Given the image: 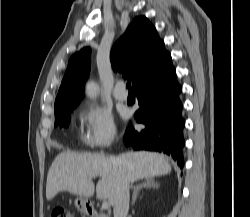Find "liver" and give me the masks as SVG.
Wrapping results in <instances>:
<instances>
[{"label": "liver", "mask_w": 250, "mask_h": 217, "mask_svg": "<svg viewBox=\"0 0 250 217\" xmlns=\"http://www.w3.org/2000/svg\"><path fill=\"white\" fill-rule=\"evenodd\" d=\"M120 169L128 182L133 183L144 178L167 175L171 172V165L164 155L147 151L125 152L116 157L63 152L49 168L46 198L52 200L63 191L89 198L95 192L92 179L100 177L96 197L108 199L114 206Z\"/></svg>", "instance_id": "1"}]
</instances>
